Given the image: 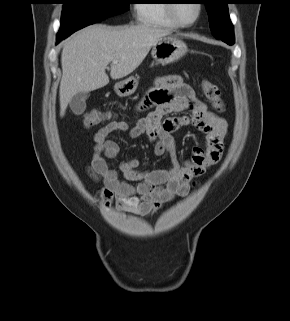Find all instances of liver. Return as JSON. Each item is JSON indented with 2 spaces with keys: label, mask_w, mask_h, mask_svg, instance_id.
<instances>
[{
  "label": "liver",
  "mask_w": 290,
  "mask_h": 321,
  "mask_svg": "<svg viewBox=\"0 0 290 321\" xmlns=\"http://www.w3.org/2000/svg\"><path fill=\"white\" fill-rule=\"evenodd\" d=\"M170 33L148 25L111 27L95 24L69 37L61 54L60 116L65 115L74 95L109 83L105 72L109 63L112 79L126 77L143 62L151 47Z\"/></svg>",
  "instance_id": "obj_1"
}]
</instances>
